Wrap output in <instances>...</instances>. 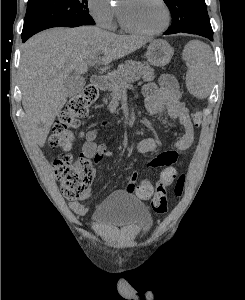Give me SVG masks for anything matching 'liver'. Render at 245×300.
<instances>
[{
  "label": "liver",
  "instance_id": "6515ba94",
  "mask_svg": "<svg viewBox=\"0 0 245 300\" xmlns=\"http://www.w3.org/2000/svg\"><path fill=\"white\" fill-rule=\"evenodd\" d=\"M140 36L117 35L98 27L52 28L31 37L21 52L22 104L26 128L42 147L66 103L64 80L70 73L85 74L89 61L103 53L109 64L141 48Z\"/></svg>",
  "mask_w": 245,
  "mask_h": 300
}]
</instances>
